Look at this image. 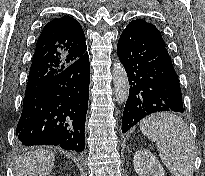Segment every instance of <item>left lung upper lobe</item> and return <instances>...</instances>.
<instances>
[{
  "label": "left lung upper lobe",
  "mask_w": 205,
  "mask_h": 176,
  "mask_svg": "<svg viewBox=\"0 0 205 176\" xmlns=\"http://www.w3.org/2000/svg\"><path fill=\"white\" fill-rule=\"evenodd\" d=\"M128 26L134 27L138 29L143 35L165 44L160 31L153 24L148 23L143 19H136L129 23Z\"/></svg>",
  "instance_id": "5c2ea615"
}]
</instances>
